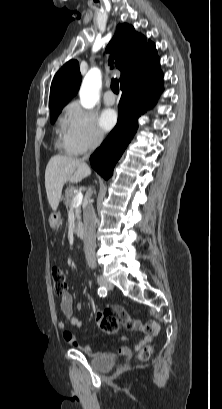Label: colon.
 <instances>
[{"instance_id": "colon-1", "label": "colon", "mask_w": 222, "mask_h": 409, "mask_svg": "<svg viewBox=\"0 0 222 409\" xmlns=\"http://www.w3.org/2000/svg\"><path fill=\"white\" fill-rule=\"evenodd\" d=\"M51 279L53 290L57 295H63L67 292V281L66 276L62 268L59 266H54L51 269ZM112 312L109 309H106L97 314V324L99 328L106 333H115L118 330V323L111 318ZM151 349L145 347L141 353V359H147L150 355Z\"/></svg>"}]
</instances>
